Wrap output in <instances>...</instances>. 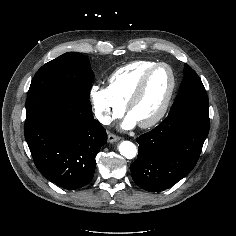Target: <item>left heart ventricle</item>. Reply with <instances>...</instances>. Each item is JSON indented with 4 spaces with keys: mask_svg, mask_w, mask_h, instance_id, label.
<instances>
[{
    "mask_svg": "<svg viewBox=\"0 0 236 236\" xmlns=\"http://www.w3.org/2000/svg\"><path fill=\"white\" fill-rule=\"evenodd\" d=\"M171 85V76L168 69L161 67L150 76L145 90L131 108L130 115L137 123L152 119L161 109Z\"/></svg>",
    "mask_w": 236,
    "mask_h": 236,
    "instance_id": "b2bd125f",
    "label": "left heart ventricle"
}]
</instances>
